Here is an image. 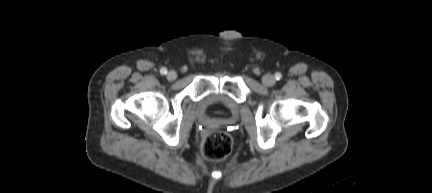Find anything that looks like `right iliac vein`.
Masks as SVG:
<instances>
[{
    "label": "right iliac vein",
    "mask_w": 432,
    "mask_h": 193,
    "mask_svg": "<svg viewBox=\"0 0 432 193\" xmlns=\"http://www.w3.org/2000/svg\"><path fill=\"white\" fill-rule=\"evenodd\" d=\"M177 78V73L175 71H169L167 74V79L173 81Z\"/></svg>",
    "instance_id": "obj_1"
}]
</instances>
